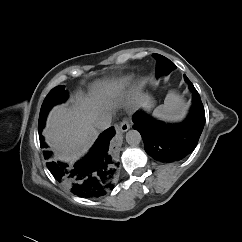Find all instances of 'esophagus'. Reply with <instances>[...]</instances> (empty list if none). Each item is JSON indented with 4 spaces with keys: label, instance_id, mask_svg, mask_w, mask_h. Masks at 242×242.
<instances>
[{
    "label": "esophagus",
    "instance_id": "1",
    "mask_svg": "<svg viewBox=\"0 0 242 242\" xmlns=\"http://www.w3.org/2000/svg\"><path fill=\"white\" fill-rule=\"evenodd\" d=\"M130 129V124L128 122V120H123L121 123H120V126H119V130L120 132H126Z\"/></svg>",
    "mask_w": 242,
    "mask_h": 242
}]
</instances>
